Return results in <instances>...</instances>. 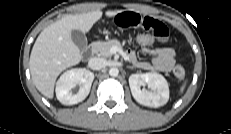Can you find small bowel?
<instances>
[{
    "instance_id": "small-bowel-1",
    "label": "small bowel",
    "mask_w": 231,
    "mask_h": 134,
    "mask_svg": "<svg viewBox=\"0 0 231 134\" xmlns=\"http://www.w3.org/2000/svg\"><path fill=\"white\" fill-rule=\"evenodd\" d=\"M113 22L119 29L143 30L153 35L160 42H166L169 31L164 23L150 17L142 16L132 11L118 12L113 16ZM143 52L153 56L151 61H140L133 51L126 53L127 59L137 67L148 71H170L175 62V51L170 47H146Z\"/></svg>"
}]
</instances>
